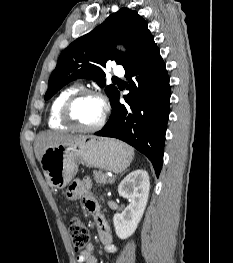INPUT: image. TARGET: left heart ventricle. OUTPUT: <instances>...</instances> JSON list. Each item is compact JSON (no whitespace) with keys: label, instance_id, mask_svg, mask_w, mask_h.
Wrapping results in <instances>:
<instances>
[{"label":"left heart ventricle","instance_id":"obj_1","mask_svg":"<svg viewBox=\"0 0 233 263\" xmlns=\"http://www.w3.org/2000/svg\"><path fill=\"white\" fill-rule=\"evenodd\" d=\"M103 113L102 102L93 97L79 100L73 107L72 114L77 123L83 127L97 124Z\"/></svg>","mask_w":233,"mask_h":263}]
</instances>
